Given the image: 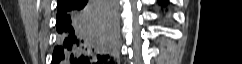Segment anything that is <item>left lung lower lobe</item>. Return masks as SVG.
<instances>
[{
	"mask_svg": "<svg viewBox=\"0 0 242 64\" xmlns=\"http://www.w3.org/2000/svg\"><path fill=\"white\" fill-rule=\"evenodd\" d=\"M159 4H160V6H161V10H162V11H165V8H166L168 2L165 1V0H160V1H159Z\"/></svg>",
	"mask_w": 242,
	"mask_h": 64,
	"instance_id": "obj_1",
	"label": "left lung lower lobe"
}]
</instances>
